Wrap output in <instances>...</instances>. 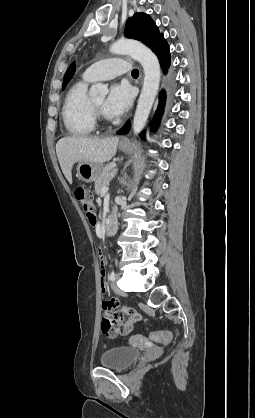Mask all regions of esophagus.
<instances>
[{"label": "esophagus", "mask_w": 255, "mask_h": 418, "mask_svg": "<svg viewBox=\"0 0 255 418\" xmlns=\"http://www.w3.org/2000/svg\"><path fill=\"white\" fill-rule=\"evenodd\" d=\"M120 142L121 143H125L126 142V138L125 137H122L121 140H120Z\"/></svg>", "instance_id": "34e87169"}]
</instances>
